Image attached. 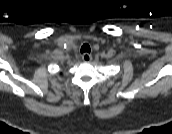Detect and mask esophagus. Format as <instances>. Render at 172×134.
<instances>
[{
    "mask_svg": "<svg viewBox=\"0 0 172 134\" xmlns=\"http://www.w3.org/2000/svg\"><path fill=\"white\" fill-rule=\"evenodd\" d=\"M82 60L84 62H90L92 60V55L91 54H88V53H84L82 55Z\"/></svg>",
    "mask_w": 172,
    "mask_h": 134,
    "instance_id": "obj_1",
    "label": "esophagus"
}]
</instances>
